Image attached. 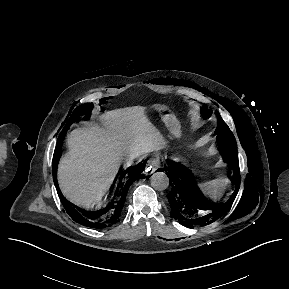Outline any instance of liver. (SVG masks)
<instances>
[{
	"label": "liver",
	"instance_id": "liver-1",
	"mask_svg": "<svg viewBox=\"0 0 289 289\" xmlns=\"http://www.w3.org/2000/svg\"><path fill=\"white\" fill-rule=\"evenodd\" d=\"M141 106L106 112V127L74 129L67 138L69 152L58 165L63 195L85 208L96 205L109 190L126 154L142 155L162 148L165 141Z\"/></svg>",
	"mask_w": 289,
	"mask_h": 289
}]
</instances>
